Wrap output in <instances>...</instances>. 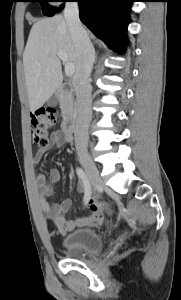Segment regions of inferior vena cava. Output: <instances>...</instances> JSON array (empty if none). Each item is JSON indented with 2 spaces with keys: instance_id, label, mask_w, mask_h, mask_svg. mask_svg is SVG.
I'll return each mask as SVG.
<instances>
[{
  "instance_id": "1",
  "label": "inferior vena cava",
  "mask_w": 181,
  "mask_h": 300,
  "mask_svg": "<svg viewBox=\"0 0 181 300\" xmlns=\"http://www.w3.org/2000/svg\"><path fill=\"white\" fill-rule=\"evenodd\" d=\"M67 22L77 55V67L73 77V86L77 97L75 117V147L77 152H85L88 143V128L92 118L91 84L95 52L89 36L79 19L77 2H68L64 9Z\"/></svg>"
}]
</instances>
